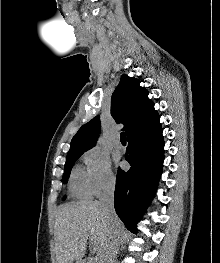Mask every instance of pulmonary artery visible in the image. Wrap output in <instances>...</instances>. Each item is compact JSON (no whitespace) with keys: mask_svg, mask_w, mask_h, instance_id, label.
<instances>
[{"mask_svg":"<svg viewBox=\"0 0 220 263\" xmlns=\"http://www.w3.org/2000/svg\"><path fill=\"white\" fill-rule=\"evenodd\" d=\"M114 146H115L116 148H118V149H120V148L122 147V143H121V141H120L119 138H117V139L115 140Z\"/></svg>","mask_w":220,"mask_h":263,"instance_id":"1","label":"pulmonary artery"}]
</instances>
